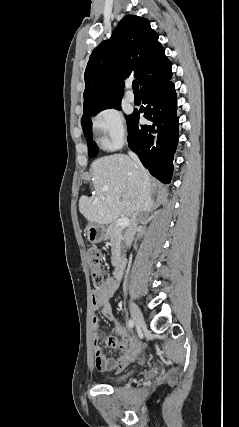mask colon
Instances as JSON below:
<instances>
[{
    "label": "colon",
    "instance_id": "colon-1",
    "mask_svg": "<svg viewBox=\"0 0 239 427\" xmlns=\"http://www.w3.org/2000/svg\"><path fill=\"white\" fill-rule=\"evenodd\" d=\"M87 263L92 274V279L95 287L103 284L106 277V269L103 265V258L100 250L95 246H90L87 249Z\"/></svg>",
    "mask_w": 239,
    "mask_h": 427
}]
</instances>
